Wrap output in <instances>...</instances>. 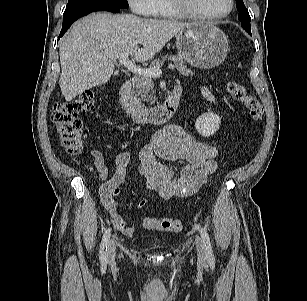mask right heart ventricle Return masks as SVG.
Instances as JSON below:
<instances>
[{
    "label": "right heart ventricle",
    "mask_w": 307,
    "mask_h": 301,
    "mask_svg": "<svg viewBox=\"0 0 307 301\" xmlns=\"http://www.w3.org/2000/svg\"><path fill=\"white\" fill-rule=\"evenodd\" d=\"M158 15L160 18L164 19L183 17L171 8L167 0H160V12Z\"/></svg>",
    "instance_id": "obj_1"
}]
</instances>
